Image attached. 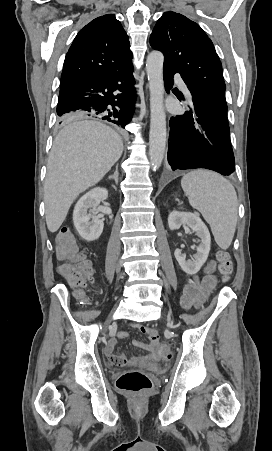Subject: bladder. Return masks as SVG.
I'll return each mask as SVG.
<instances>
[{
    "instance_id": "1",
    "label": "bladder",
    "mask_w": 272,
    "mask_h": 451,
    "mask_svg": "<svg viewBox=\"0 0 272 451\" xmlns=\"http://www.w3.org/2000/svg\"><path fill=\"white\" fill-rule=\"evenodd\" d=\"M142 368L148 369L150 371H161L162 370V362L157 360L145 361L140 363Z\"/></svg>"
}]
</instances>
